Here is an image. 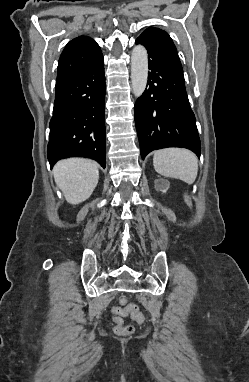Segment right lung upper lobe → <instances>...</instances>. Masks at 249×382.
Listing matches in <instances>:
<instances>
[{
  "mask_svg": "<svg viewBox=\"0 0 249 382\" xmlns=\"http://www.w3.org/2000/svg\"><path fill=\"white\" fill-rule=\"evenodd\" d=\"M101 53L99 45L87 36L71 40L60 56L55 88L58 89L71 81L92 65Z\"/></svg>",
  "mask_w": 249,
  "mask_h": 382,
  "instance_id": "obj_1",
  "label": "right lung upper lobe"
}]
</instances>
